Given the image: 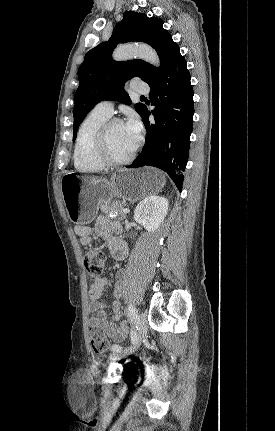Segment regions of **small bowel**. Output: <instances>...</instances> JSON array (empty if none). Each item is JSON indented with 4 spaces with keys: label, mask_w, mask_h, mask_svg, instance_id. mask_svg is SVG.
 Masks as SVG:
<instances>
[{
    "label": "small bowel",
    "mask_w": 275,
    "mask_h": 431,
    "mask_svg": "<svg viewBox=\"0 0 275 431\" xmlns=\"http://www.w3.org/2000/svg\"><path fill=\"white\" fill-rule=\"evenodd\" d=\"M118 226L107 219H100L95 224V232L97 235L102 237L108 245L109 251L112 257L116 260H125L128 256V246L122 239L114 237L112 230L117 229ZM75 233L79 236L80 243L84 246H88L92 242L91 233L92 230L88 226L77 225L75 227ZM107 285L105 278H100L94 281L89 289V324L91 326H97L103 330L105 335L115 343H120L126 340L128 329L124 322H120L122 317V306L118 299L112 304V319H108L106 312L104 311V303L101 300V296L104 288ZM120 291H116V295H119Z\"/></svg>",
    "instance_id": "small-bowel-1"
}]
</instances>
